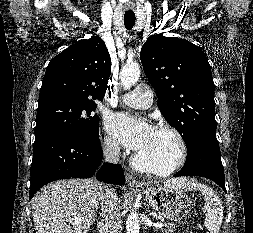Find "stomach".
<instances>
[{
	"label": "stomach",
	"mask_w": 253,
	"mask_h": 233,
	"mask_svg": "<svg viewBox=\"0 0 253 233\" xmlns=\"http://www.w3.org/2000/svg\"><path fill=\"white\" fill-rule=\"evenodd\" d=\"M151 207L163 218L177 221L184 218L192 208V199L183 191L156 183L142 188Z\"/></svg>",
	"instance_id": "obj_1"
}]
</instances>
